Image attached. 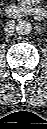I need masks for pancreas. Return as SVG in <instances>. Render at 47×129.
Segmentation results:
<instances>
[{
	"label": "pancreas",
	"mask_w": 47,
	"mask_h": 129,
	"mask_svg": "<svg viewBox=\"0 0 47 129\" xmlns=\"http://www.w3.org/2000/svg\"><path fill=\"white\" fill-rule=\"evenodd\" d=\"M33 0H23L21 6H25L26 4H30Z\"/></svg>",
	"instance_id": "1"
}]
</instances>
